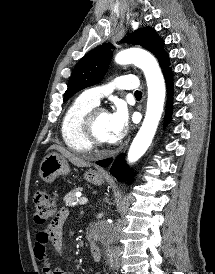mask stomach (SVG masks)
Instances as JSON below:
<instances>
[{
    "label": "stomach",
    "instance_id": "stomach-1",
    "mask_svg": "<svg viewBox=\"0 0 215 274\" xmlns=\"http://www.w3.org/2000/svg\"><path fill=\"white\" fill-rule=\"evenodd\" d=\"M70 172V167L66 158L58 153L48 154L41 162L39 175L46 183H52L56 177L66 175ZM84 178L94 184L102 185L106 181V176L96 170H88Z\"/></svg>",
    "mask_w": 215,
    "mask_h": 274
}]
</instances>
